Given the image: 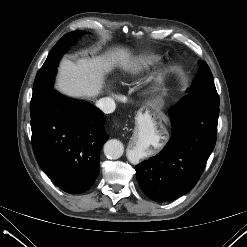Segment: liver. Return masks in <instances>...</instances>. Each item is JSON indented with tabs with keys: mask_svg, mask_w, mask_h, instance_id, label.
Masks as SVG:
<instances>
[{
	"mask_svg": "<svg viewBox=\"0 0 247 247\" xmlns=\"http://www.w3.org/2000/svg\"><path fill=\"white\" fill-rule=\"evenodd\" d=\"M132 64L124 48H116L102 56L82 58L77 62L64 59L60 63L55 88L72 98L92 99L102 93L105 74L117 65L127 70Z\"/></svg>",
	"mask_w": 247,
	"mask_h": 247,
	"instance_id": "obj_1",
	"label": "liver"
}]
</instances>
